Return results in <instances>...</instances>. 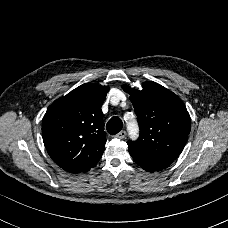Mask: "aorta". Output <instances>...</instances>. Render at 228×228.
Instances as JSON below:
<instances>
[{"label": "aorta", "mask_w": 228, "mask_h": 228, "mask_svg": "<svg viewBox=\"0 0 228 228\" xmlns=\"http://www.w3.org/2000/svg\"><path fill=\"white\" fill-rule=\"evenodd\" d=\"M130 114H131V113H130ZM126 115H127V114L124 115V118H125L126 120H128L127 117H126ZM127 130H128V132H129L130 138L135 139V138L137 137L138 131H139V127H138L137 122H136L134 119H131V120H129V121L127 122Z\"/></svg>", "instance_id": "obj_1"}]
</instances>
